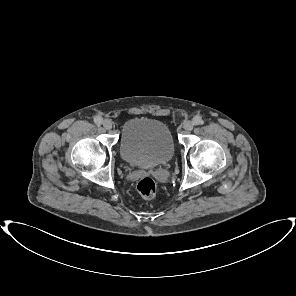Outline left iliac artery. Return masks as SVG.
Segmentation results:
<instances>
[{"label": "left iliac artery", "mask_w": 296, "mask_h": 296, "mask_svg": "<svg viewBox=\"0 0 296 296\" xmlns=\"http://www.w3.org/2000/svg\"><path fill=\"white\" fill-rule=\"evenodd\" d=\"M193 123H194V125H201V124H203L204 122H203V120H202V118H201L200 116H196V117H194V119H193Z\"/></svg>", "instance_id": "1"}]
</instances>
